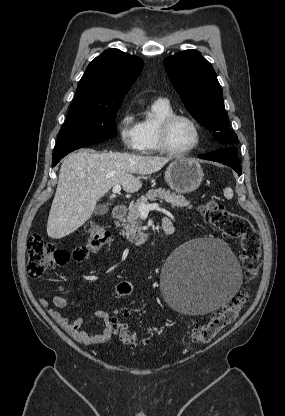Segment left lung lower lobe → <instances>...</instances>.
Segmentation results:
<instances>
[{
	"instance_id": "0a47b994",
	"label": "left lung lower lobe",
	"mask_w": 285,
	"mask_h": 416,
	"mask_svg": "<svg viewBox=\"0 0 285 416\" xmlns=\"http://www.w3.org/2000/svg\"><path fill=\"white\" fill-rule=\"evenodd\" d=\"M199 158L222 163L234 169L239 175L242 174L236 148L219 149Z\"/></svg>"
}]
</instances>
